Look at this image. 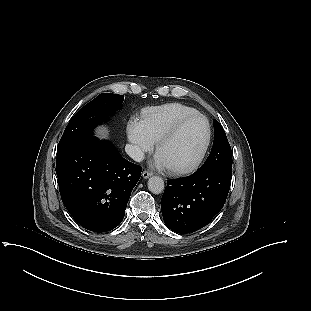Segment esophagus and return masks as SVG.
Here are the masks:
<instances>
[{"label":"esophagus","mask_w":311,"mask_h":311,"mask_svg":"<svg viewBox=\"0 0 311 311\" xmlns=\"http://www.w3.org/2000/svg\"><path fill=\"white\" fill-rule=\"evenodd\" d=\"M151 175H152V173L149 172V171H147V170L143 171V173H142V177H143L144 179L149 178Z\"/></svg>","instance_id":"esophagus-1"}]
</instances>
